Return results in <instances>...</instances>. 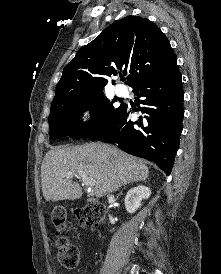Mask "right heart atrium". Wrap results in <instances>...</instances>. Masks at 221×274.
<instances>
[{
	"instance_id": "1",
	"label": "right heart atrium",
	"mask_w": 221,
	"mask_h": 274,
	"mask_svg": "<svg viewBox=\"0 0 221 274\" xmlns=\"http://www.w3.org/2000/svg\"><path fill=\"white\" fill-rule=\"evenodd\" d=\"M94 117V110L91 106H82L81 107V123L87 125L91 122Z\"/></svg>"
}]
</instances>
